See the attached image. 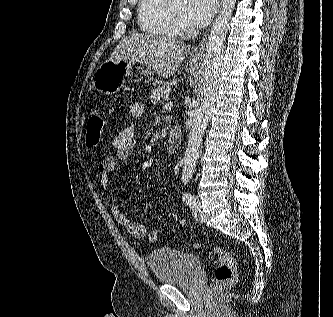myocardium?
<instances>
[{
	"mask_svg": "<svg viewBox=\"0 0 333 317\" xmlns=\"http://www.w3.org/2000/svg\"><path fill=\"white\" fill-rule=\"evenodd\" d=\"M166 10L167 13L169 15V17L171 18V20L173 21V23L179 27V26H183L184 21L183 18H181L180 16H178L171 8L170 3L166 2Z\"/></svg>",
	"mask_w": 333,
	"mask_h": 317,
	"instance_id": "1",
	"label": "myocardium"
}]
</instances>
